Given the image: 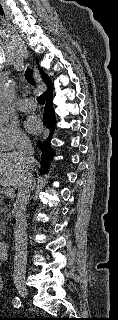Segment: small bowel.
<instances>
[{
  "mask_svg": "<svg viewBox=\"0 0 118 320\" xmlns=\"http://www.w3.org/2000/svg\"><path fill=\"white\" fill-rule=\"evenodd\" d=\"M2 286H3V282H2V277H1V273H0V291L2 289Z\"/></svg>",
  "mask_w": 118,
  "mask_h": 320,
  "instance_id": "1",
  "label": "small bowel"
}]
</instances>
